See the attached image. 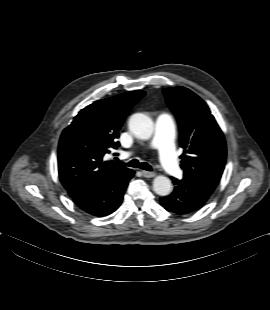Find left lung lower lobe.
Instances as JSON below:
<instances>
[{
	"instance_id": "1",
	"label": "left lung lower lobe",
	"mask_w": 270,
	"mask_h": 310,
	"mask_svg": "<svg viewBox=\"0 0 270 310\" xmlns=\"http://www.w3.org/2000/svg\"><path fill=\"white\" fill-rule=\"evenodd\" d=\"M175 185L174 191L160 202L166 210L177 214H188L199 210L210 198L217 184L195 180L186 176L178 180L171 177Z\"/></svg>"
}]
</instances>
